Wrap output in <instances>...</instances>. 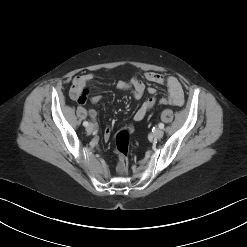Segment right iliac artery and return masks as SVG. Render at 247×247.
<instances>
[{
    "instance_id": "82829eb1",
    "label": "right iliac artery",
    "mask_w": 247,
    "mask_h": 247,
    "mask_svg": "<svg viewBox=\"0 0 247 247\" xmlns=\"http://www.w3.org/2000/svg\"><path fill=\"white\" fill-rule=\"evenodd\" d=\"M83 125H84L85 127H87V126L89 125V123H88L87 121H84V122H83Z\"/></svg>"
}]
</instances>
